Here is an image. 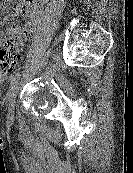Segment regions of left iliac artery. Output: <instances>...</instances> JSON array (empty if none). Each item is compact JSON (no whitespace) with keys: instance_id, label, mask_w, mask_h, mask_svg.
Masks as SVG:
<instances>
[{"instance_id":"1","label":"left iliac artery","mask_w":133,"mask_h":173,"mask_svg":"<svg viewBox=\"0 0 133 173\" xmlns=\"http://www.w3.org/2000/svg\"><path fill=\"white\" fill-rule=\"evenodd\" d=\"M21 77V72H17L15 73L12 77H11V83H10V88L13 89L14 86L17 84L18 80Z\"/></svg>"}]
</instances>
